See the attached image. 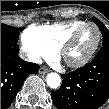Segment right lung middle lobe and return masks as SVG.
Here are the masks:
<instances>
[{"label": "right lung middle lobe", "mask_w": 109, "mask_h": 109, "mask_svg": "<svg viewBox=\"0 0 109 109\" xmlns=\"http://www.w3.org/2000/svg\"><path fill=\"white\" fill-rule=\"evenodd\" d=\"M23 29L24 27L16 28L1 23V39L17 44L19 32Z\"/></svg>", "instance_id": "obj_1"}]
</instances>
